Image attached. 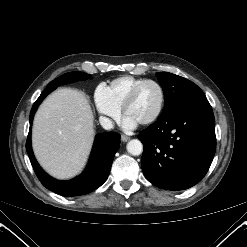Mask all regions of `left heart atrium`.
<instances>
[{
    "label": "left heart atrium",
    "mask_w": 247,
    "mask_h": 247,
    "mask_svg": "<svg viewBox=\"0 0 247 247\" xmlns=\"http://www.w3.org/2000/svg\"><path fill=\"white\" fill-rule=\"evenodd\" d=\"M123 127L127 130H132L136 128V126L139 124L136 120L131 118L130 116L126 115L123 119Z\"/></svg>",
    "instance_id": "1"
}]
</instances>
